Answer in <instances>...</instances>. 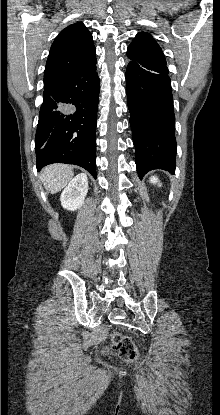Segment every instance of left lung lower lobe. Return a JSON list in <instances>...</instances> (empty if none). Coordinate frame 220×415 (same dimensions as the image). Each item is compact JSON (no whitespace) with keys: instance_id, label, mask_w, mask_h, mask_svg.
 <instances>
[{"instance_id":"1","label":"left lung lower lobe","mask_w":220,"mask_h":415,"mask_svg":"<svg viewBox=\"0 0 220 415\" xmlns=\"http://www.w3.org/2000/svg\"><path fill=\"white\" fill-rule=\"evenodd\" d=\"M126 93L139 177L152 169L174 173L177 145L167 66L131 60L126 70Z\"/></svg>"}]
</instances>
